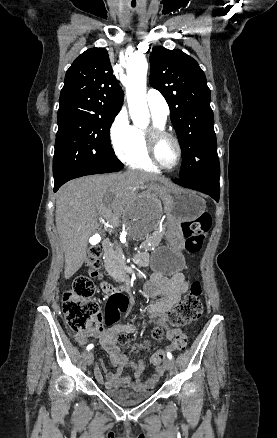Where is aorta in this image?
<instances>
[{
    "label": "aorta",
    "mask_w": 277,
    "mask_h": 438,
    "mask_svg": "<svg viewBox=\"0 0 277 438\" xmlns=\"http://www.w3.org/2000/svg\"><path fill=\"white\" fill-rule=\"evenodd\" d=\"M147 60L142 54L127 58L126 94L131 119L135 126L145 127L149 122L146 101ZM160 217L159 201L152 195L142 197L128 211L120 238L137 241L144 238L157 225Z\"/></svg>",
    "instance_id": "obj_1"
}]
</instances>
